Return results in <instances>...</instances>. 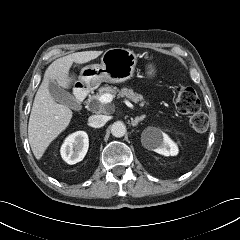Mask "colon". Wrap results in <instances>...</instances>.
<instances>
[{
  "label": "colon",
  "instance_id": "1",
  "mask_svg": "<svg viewBox=\"0 0 240 240\" xmlns=\"http://www.w3.org/2000/svg\"><path fill=\"white\" fill-rule=\"evenodd\" d=\"M175 102L178 111L187 115L190 127L203 133L208 128V117L201 111V101L197 92L189 86H179L175 92Z\"/></svg>",
  "mask_w": 240,
  "mask_h": 240
}]
</instances>
